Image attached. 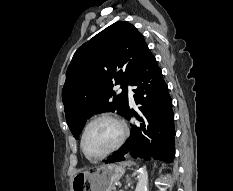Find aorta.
Here are the masks:
<instances>
[{
    "instance_id": "1",
    "label": "aorta",
    "mask_w": 233,
    "mask_h": 191,
    "mask_svg": "<svg viewBox=\"0 0 233 191\" xmlns=\"http://www.w3.org/2000/svg\"><path fill=\"white\" fill-rule=\"evenodd\" d=\"M148 186V172L146 167H142L139 169L138 174V183L135 191H147Z\"/></svg>"
}]
</instances>
